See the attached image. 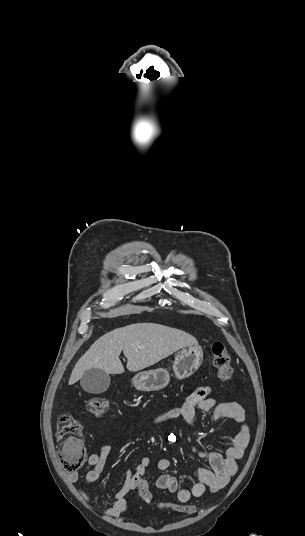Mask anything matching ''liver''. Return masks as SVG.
<instances>
[{"label":"liver","mask_w":305,"mask_h":536,"mask_svg":"<svg viewBox=\"0 0 305 536\" xmlns=\"http://www.w3.org/2000/svg\"><path fill=\"white\" fill-rule=\"evenodd\" d=\"M185 346H197V340L176 328L160 324H131L116 328L96 340L78 360L69 378V386L81 380L85 370L91 368L104 370L105 374H123L125 370L119 360L122 350L127 358V370L139 372Z\"/></svg>","instance_id":"1"}]
</instances>
